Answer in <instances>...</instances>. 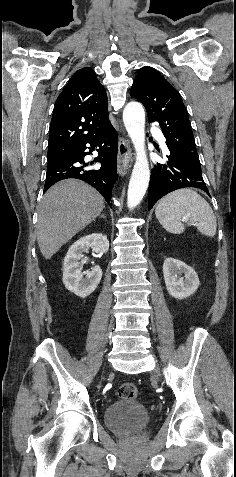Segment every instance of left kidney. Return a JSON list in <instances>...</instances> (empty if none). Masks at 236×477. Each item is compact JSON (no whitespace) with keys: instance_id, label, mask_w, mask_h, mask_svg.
<instances>
[{"instance_id":"left-kidney-1","label":"left kidney","mask_w":236,"mask_h":477,"mask_svg":"<svg viewBox=\"0 0 236 477\" xmlns=\"http://www.w3.org/2000/svg\"><path fill=\"white\" fill-rule=\"evenodd\" d=\"M163 275L168 293L176 299L189 297L200 285L195 270L175 258H167L164 261Z\"/></svg>"}]
</instances>
